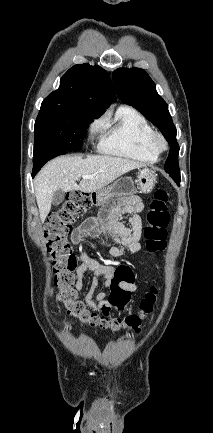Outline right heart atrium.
I'll use <instances>...</instances> for the list:
<instances>
[{
  "mask_svg": "<svg viewBox=\"0 0 213 433\" xmlns=\"http://www.w3.org/2000/svg\"><path fill=\"white\" fill-rule=\"evenodd\" d=\"M101 127H102V120L98 119L92 122L89 126L90 136H93L95 133H97Z\"/></svg>",
  "mask_w": 213,
  "mask_h": 433,
  "instance_id": "d8ad5b80",
  "label": "right heart atrium"
}]
</instances>
